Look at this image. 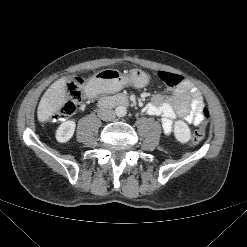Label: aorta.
Wrapping results in <instances>:
<instances>
[{"mask_svg":"<svg viewBox=\"0 0 247 247\" xmlns=\"http://www.w3.org/2000/svg\"><path fill=\"white\" fill-rule=\"evenodd\" d=\"M115 113L118 117H124L127 114V108L125 106H117Z\"/></svg>","mask_w":247,"mask_h":247,"instance_id":"1","label":"aorta"}]
</instances>
